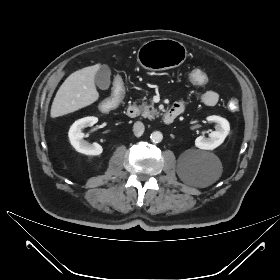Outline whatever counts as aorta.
<instances>
[{"label":"aorta","mask_w":280,"mask_h":280,"mask_svg":"<svg viewBox=\"0 0 280 280\" xmlns=\"http://www.w3.org/2000/svg\"><path fill=\"white\" fill-rule=\"evenodd\" d=\"M150 139L153 143H160L163 139V135L160 131H154L151 133Z\"/></svg>","instance_id":"762f6f07"}]
</instances>
